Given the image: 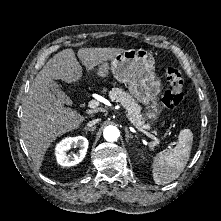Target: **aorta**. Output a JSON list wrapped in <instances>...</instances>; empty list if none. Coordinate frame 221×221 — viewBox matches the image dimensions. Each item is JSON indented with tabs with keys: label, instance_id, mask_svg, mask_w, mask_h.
I'll return each mask as SVG.
<instances>
[{
	"label": "aorta",
	"instance_id": "obj_1",
	"mask_svg": "<svg viewBox=\"0 0 221 221\" xmlns=\"http://www.w3.org/2000/svg\"><path fill=\"white\" fill-rule=\"evenodd\" d=\"M120 133L116 126L109 125L105 127L103 136L106 141L113 142L116 141L119 137Z\"/></svg>",
	"mask_w": 221,
	"mask_h": 221
}]
</instances>
